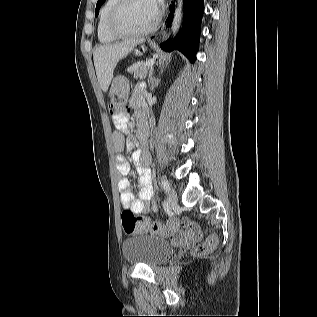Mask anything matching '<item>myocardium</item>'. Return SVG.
Segmentation results:
<instances>
[{
    "mask_svg": "<svg viewBox=\"0 0 317 317\" xmlns=\"http://www.w3.org/2000/svg\"><path fill=\"white\" fill-rule=\"evenodd\" d=\"M127 2L128 0H116V3L112 7L108 17L107 25H108L109 32L117 38H132V37L145 36L151 33L152 31H154L155 28L158 26L161 19V11L158 7L156 10V16L154 20L152 21V23L148 27L140 31H136V32L124 31L117 26V19H118L119 13Z\"/></svg>",
    "mask_w": 317,
    "mask_h": 317,
    "instance_id": "1",
    "label": "myocardium"
}]
</instances>
